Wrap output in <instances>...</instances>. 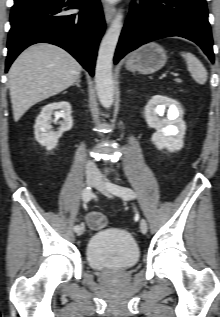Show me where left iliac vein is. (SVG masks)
<instances>
[{"instance_id":"1","label":"left iliac vein","mask_w":220,"mask_h":317,"mask_svg":"<svg viewBox=\"0 0 220 317\" xmlns=\"http://www.w3.org/2000/svg\"><path fill=\"white\" fill-rule=\"evenodd\" d=\"M110 184L112 183H108V182H105L101 179L100 176L97 177V180L94 184V187L96 189H98L101 193H103L104 195L106 196H110V194L112 193L111 189H110ZM147 230H148V225H147V222L145 219H141L140 221V231L143 233V234H146L147 233Z\"/></svg>"}]
</instances>
